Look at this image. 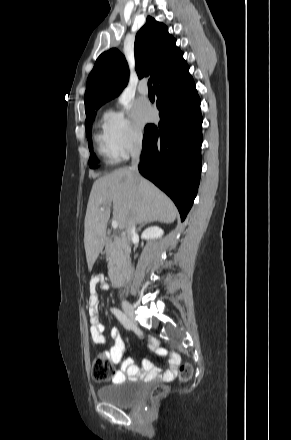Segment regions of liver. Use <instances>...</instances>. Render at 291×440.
<instances>
[{
    "label": "liver",
    "mask_w": 291,
    "mask_h": 440,
    "mask_svg": "<svg viewBox=\"0 0 291 440\" xmlns=\"http://www.w3.org/2000/svg\"><path fill=\"white\" fill-rule=\"evenodd\" d=\"M113 203V219L124 229L128 217L135 223H172L177 217L173 202L153 183L131 169L121 168L100 177L92 186L85 216L84 245L89 270L105 244ZM101 207H106L101 211Z\"/></svg>",
    "instance_id": "obj_1"
}]
</instances>
